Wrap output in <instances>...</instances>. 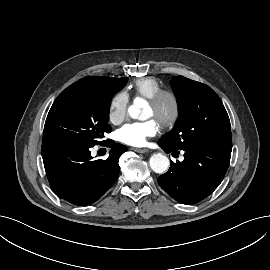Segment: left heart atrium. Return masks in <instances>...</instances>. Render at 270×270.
<instances>
[{
	"label": "left heart atrium",
	"instance_id": "39dd6f15",
	"mask_svg": "<svg viewBox=\"0 0 270 270\" xmlns=\"http://www.w3.org/2000/svg\"><path fill=\"white\" fill-rule=\"evenodd\" d=\"M159 130V124L154 119L144 122H132L125 124L118 131L120 141L132 146H142L148 137L154 136Z\"/></svg>",
	"mask_w": 270,
	"mask_h": 270
}]
</instances>
